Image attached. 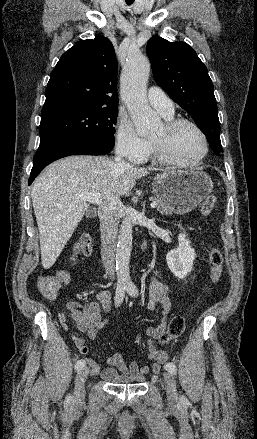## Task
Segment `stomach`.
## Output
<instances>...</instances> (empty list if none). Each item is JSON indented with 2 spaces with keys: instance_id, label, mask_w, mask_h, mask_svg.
Here are the masks:
<instances>
[{
  "instance_id": "1",
  "label": "stomach",
  "mask_w": 257,
  "mask_h": 439,
  "mask_svg": "<svg viewBox=\"0 0 257 439\" xmlns=\"http://www.w3.org/2000/svg\"><path fill=\"white\" fill-rule=\"evenodd\" d=\"M212 191L211 178L197 169L164 172L158 174L153 182L156 196L180 215L194 210Z\"/></svg>"
}]
</instances>
